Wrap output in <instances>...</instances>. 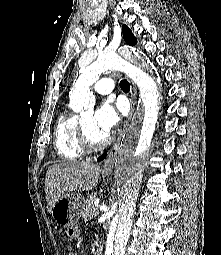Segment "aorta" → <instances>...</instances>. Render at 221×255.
I'll list each match as a JSON object with an SVG mask.
<instances>
[{
    "mask_svg": "<svg viewBox=\"0 0 221 255\" xmlns=\"http://www.w3.org/2000/svg\"><path fill=\"white\" fill-rule=\"evenodd\" d=\"M125 60L134 63L138 69H130ZM81 62V74L69 93L70 107L73 111L79 112L81 116L85 113L93 114L95 97L90 86L99 79L105 70L125 67L128 68L129 74L140 88L142 117L150 112V122L145 133L141 134L137 142L131 137L126 138L115 165V186L119 196V208L108 234L107 254L124 255L141 185L143 163L149 150L160 103L158 83L151 74L150 63L133 49L126 48L119 53L87 55Z\"/></svg>",
    "mask_w": 221,
    "mask_h": 255,
    "instance_id": "762f6f07",
    "label": "aorta"
}]
</instances>
